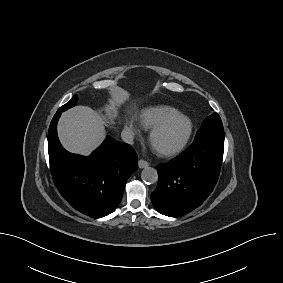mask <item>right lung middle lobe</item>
I'll return each instance as SVG.
<instances>
[{"mask_svg":"<svg viewBox=\"0 0 283 283\" xmlns=\"http://www.w3.org/2000/svg\"><path fill=\"white\" fill-rule=\"evenodd\" d=\"M77 100H78V97H77V95H75L68 103H66L65 105H63L62 107H60V108L58 109V111L63 112V111H65V110H67V109H69V108L75 106Z\"/></svg>","mask_w":283,"mask_h":283,"instance_id":"dd1d6c3e","label":"right lung middle lobe"}]
</instances>
